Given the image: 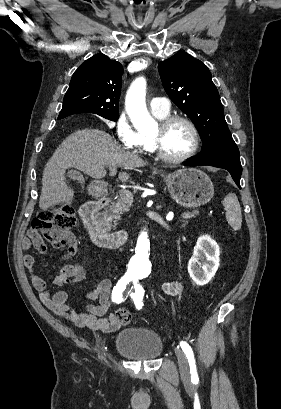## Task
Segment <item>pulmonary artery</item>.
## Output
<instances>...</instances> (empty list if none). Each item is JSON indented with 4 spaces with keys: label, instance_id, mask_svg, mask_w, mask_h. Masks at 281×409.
Listing matches in <instances>:
<instances>
[{
    "label": "pulmonary artery",
    "instance_id": "1",
    "mask_svg": "<svg viewBox=\"0 0 281 409\" xmlns=\"http://www.w3.org/2000/svg\"><path fill=\"white\" fill-rule=\"evenodd\" d=\"M169 104L170 99L168 97H155L153 102H151L150 108L151 111L165 114L169 111Z\"/></svg>",
    "mask_w": 281,
    "mask_h": 409
}]
</instances>
